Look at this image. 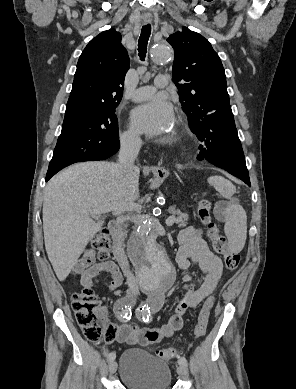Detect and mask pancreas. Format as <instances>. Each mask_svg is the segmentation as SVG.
<instances>
[{"label": "pancreas", "mask_w": 296, "mask_h": 389, "mask_svg": "<svg viewBox=\"0 0 296 389\" xmlns=\"http://www.w3.org/2000/svg\"><path fill=\"white\" fill-rule=\"evenodd\" d=\"M168 211L172 213L173 215H177L175 218V223L178 225V227H186L188 224L189 216L186 213H182L180 211H176L174 207H169ZM126 235V231H121V236L124 237Z\"/></svg>", "instance_id": "pancreas-1"}]
</instances>
